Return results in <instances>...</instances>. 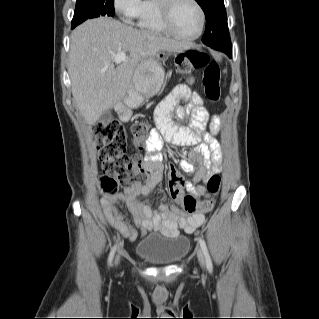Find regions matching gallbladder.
Returning a JSON list of instances; mask_svg holds the SVG:
<instances>
[{"mask_svg": "<svg viewBox=\"0 0 319 319\" xmlns=\"http://www.w3.org/2000/svg\"><path fill=\"white\" fill-rule=\"evenodd\" d=\"M111 111L110 110H107L105 111L101 117H100V121L101 122H106V121H109L111 119Z\"/></svg>", "mask_w": 319, "mask_h": 319, "instance_id": "bac80fb5", "label": "gallbladder"}]
</instances>
